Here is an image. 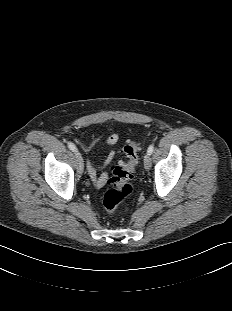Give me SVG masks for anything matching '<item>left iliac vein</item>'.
<instances>
[{
  "label": "left iliac vein",
  "mask_w": 232,
  "mask_h": 311,
  "mask_svg": "<svg viewBox=\"0 0 232 311\" xmlns=\"http://www.w3.org/2000/svg\"><path fill=\"white\" fill-rule=\"evenodd\" d=\"M152 162H151V157L150 154L147 152L144 156V168L146 170H149L151 168Z\"/></svg>",
  "instance_id": "left-iliac-vein-1"
}]
</instances>
